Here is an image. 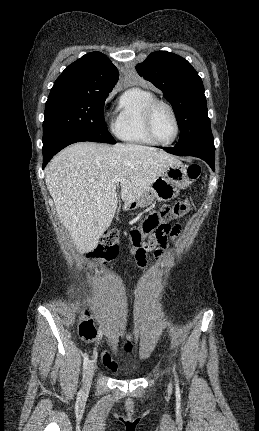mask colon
Instances as JSON below:
<instances>
[{
	"label": "colon",
	"instance_id": "5ec220e1",
	"mask_svg": "<svg viewBox=\"0 0 259 431\" xmlns=\"http://www.w3.org/2000/svg\"><path fill=\"white\" fill-rule=\"evenodd\" d=\"M190 181H195L201 174L200 165L190 164L186 170ZM191 205L187 200L177 201L172 207H161L158 210L147 214L139 225L128 232L130 241V253L133 255L136 267L142 268L146 265L147 253L155 250L160 254L167 248L170 241L174 240L181 233V226L172 224V217L181 220L184 214L190 211ZM147 238V240H146ZM119 250V232L116 228L105 231L100 243L93 252L88 255L91 261L103 262L114 259ZM79 335L87 340L93 341L97 338V331L93 321L89 318V311L86 309L78 320ZM126 351L131 350V344L125 343Z\"/></svg>",
	"mask_w": 259,
	"mask_h": 431
}]
</instances>
